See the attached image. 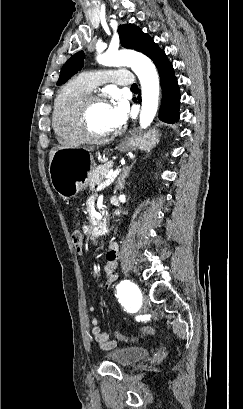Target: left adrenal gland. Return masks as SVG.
<instances>
[{
    "instance_id": "obj_1",
    "label": "left adrenal gland",
    "mask_w": 243,
    "mask_h": 409,
    "mask_svg": "<svg viewBox=\"0 0 243 409\" xmlns=\"http://www.w3.org/2000/svg\"><path fill=\"white\" fill-rule=\"evenodd\" d=\"M135 163H136V160H134L130 166L123 167L122 173L117 178V185H116L117 190H120V191L123 190L124 185H125V179L129 176V173Z\"/></svg>"
}]
</instances>
